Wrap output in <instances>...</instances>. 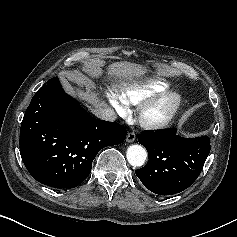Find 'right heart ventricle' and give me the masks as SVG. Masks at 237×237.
Here are the masks:
<instances>
[{"instance_id": "obj_1", "label": "right heart ventricle", "mask_w": 237, "mask_h": 237, "mask_svg": "<svg viewBox=\"0 0 237 237\" xmlns=\"http://www.w3.org/2000/svg\"><path fill=\"white\" fill-rule=\"evenodd\" d=\"M168 85L158 81L150 80L145 83L134 84L122 89L120 98L129 104H138L152 96L166 91Z\"/></svg>"}]
</instances>
